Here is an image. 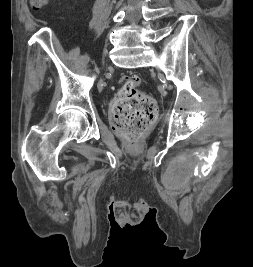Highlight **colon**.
Instances as JSON below:
<instances>
[{"instance_id":"colon-1","label":"colon","mask_w":253,"mask_h":267,"mask_svg":"<svg viewBox=\"0 0 253 267\" xmlns=\"http://www.w3.org/2000/svg\"><path fill=\"white\" fill-rule=\"evenodd\" d=\"M45 3L46 0H31L35 9H40ZM140 82L137 75L123 76L111 108L113 129L133 144L152 124L157 110L155 100L138 89Z\"/></svg>"}]
</instances>
